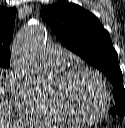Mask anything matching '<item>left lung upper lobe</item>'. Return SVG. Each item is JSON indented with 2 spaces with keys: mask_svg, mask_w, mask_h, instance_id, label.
<instances>
[{
  "mask_svg": "<svg viewBox=\"0 0 125 128\" xmlns=\"http://www.w3.org/2000/svg\"><path fill=\"white\" fill-rule=\"evenodd\" d=\"M40 15L50 25L61 43L101 70L114 89L116 115L125 116V89L122 72L110 35L98 18L82 7L69 2L45 6Z\"/></svg>",
  "mask_w": 125,
  "mask_h": 128,
  "instance_id": "5c2ea615",
  "label": "left lung upper lobe"
}]
</instances>
